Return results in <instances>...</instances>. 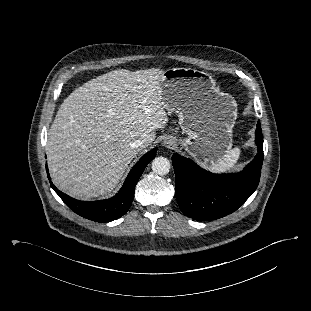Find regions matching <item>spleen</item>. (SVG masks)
Returning a JSON list of instances; mask_svg holds the SVG:
<instances>
[{
    "label": "spleen",
    "instance_id": "1",
    "mask_svg": "<svg viewBox=\"0 0 311 311\" xmlns=\"http://www.w3.org/2000/svg\"><path fill=\"white\" fill-rule=\"evenodd\" d=\"M241 150L237 147L230 150L219 162L213 164L210 170L214 173H224L236 167Z\"/></svg>",
    "mask_w": 311,
    "mask_h": 311
}]
</instances>
